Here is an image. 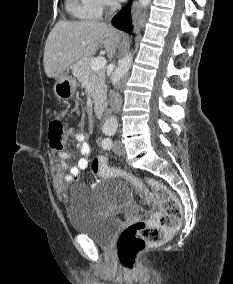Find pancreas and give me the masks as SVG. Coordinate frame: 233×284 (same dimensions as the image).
<instances>
[{"instance_id":"1","label":"pancreas","mask_w":233,"mask_h":284,"mask_svg":"<svg viewBox=\"0 0 233 284\" xmlns=\"http://www.w3.org/2000/svg\"><path fill=\"white\" fill-rule=\"evenodd\" d=\"M92 58H86L73 65V73L83 85L90 86V95L96 106L106 103L105 71L91 68Z\"/></svg>"}]
</instances>
